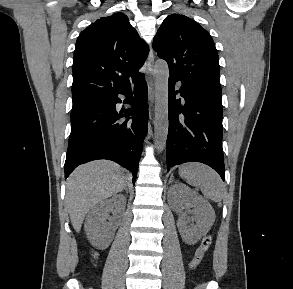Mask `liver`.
<instances>
[{"label":"liver","instance_id":"6515ba94","mask_svg":"<svg viewBox=\"0 0 293 289\" xmlns=\"http://www.w3.org/2000/svg\"><path fill=\"white\" fill-rule=\"evenodd\" d=\"M126 186L125 170L106 160L89 162L77 167L66 183L65 207L72 226L80 232L88 211Z\"/></svg>","mask_w":293,"mask_h":289}]
</instances>
